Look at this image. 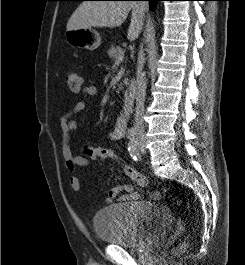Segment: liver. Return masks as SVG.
<instances>
[{"label":"liver","mask_w":245,"mask_h":265,"mask_svg":"<svg viewBox=\"0 0 245 265\" xmlns=\"http://www.w3.org/2000/svg\"><path fill=\"white\" fill-rule=\"evenodd\" d=\"M130 10L132 18L128 39L134 41L142 30L144 11L140 3L131 1H85L69 18L67 31L91 27H118L126 20Z\"/></svg>","instance_id":"liver-1"}]
</instances>
